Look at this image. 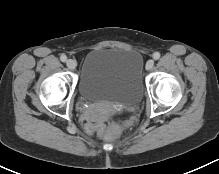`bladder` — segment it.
<instances>
[{
	"label": "bladder",
	"instance_id": "1",
	"mask_svg": "<svg viewBox=\"0 0 219 174\" xmlns=\"http://www.w3.org/2000/svg\"><path fill=\"white\" fill-rule=\"evenodd\" d=\"M143 59L131 48H96L83 59L78 92L89 102L136 106L142 98Z\"/></svg>",
	"mask_w": 219,
	"mask_h": 174
}]
</instances>
